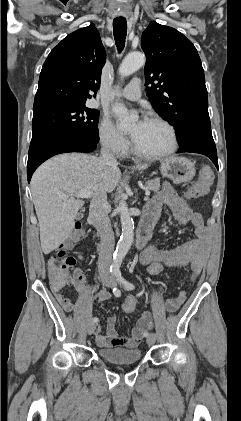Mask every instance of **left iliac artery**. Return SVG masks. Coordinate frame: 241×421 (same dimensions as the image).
<instances>
[{
    "mask_svg": "<svg viewBox=\"0 0 241 421\" xmlns=\"http://www.w3.org/2000/svg\"><path fill=\"white\" fill-rule=\"evenodd\" d=\"M115 276L117 277L118 281L124 286L125 289H127V290H133L134 289V285L123 278L119 269L115 270ZM144 336L148 337L149 333L145 332Z\"/></svg>",
    "mask_w": 241,
    "mask_h": 421,
    "instance_id": "obj_1",
    "label": "left iliac artery"
}]
</instances>
